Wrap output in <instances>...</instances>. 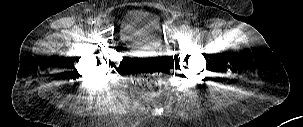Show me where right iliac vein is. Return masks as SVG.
<instances>
[{"label": "right iliac vein", "mask_w": 303, "mask_h": 127, "mask_svg": "<svg viewBox=\"0 0 303 127\" xmlns=\"http://www.w3.org/2000/svg\"><path fill=\"white\" fill-rule=\"evenodd\" d=\"M102 24H103V21H102L101 18H96V19H95V25H96V26L100 27Z\"/></svg>", "instance_id": "1"}]
</instances>
